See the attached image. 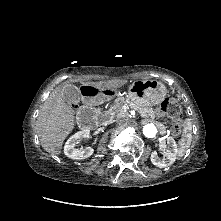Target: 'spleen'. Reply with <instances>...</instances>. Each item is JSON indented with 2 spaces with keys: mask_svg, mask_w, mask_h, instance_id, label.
<instances>
[{
  "mask_svg": "<svg viewBox=\"0 0 221 221\" xmlns=\"http://www.w3.org/2000/svg\"><path fill=\"white\" fill-rule=\"evenodd\" d=\"M190 130L191 128L189 125H187L183 130V135L182 138L180 139L181 153H184L186 149H188L191 145L192 134Z\"/></svg>",
  "mask_w": 221,
  "mask_h": 221,
  "instance_id": "obj_1",
  "label": "spleen"
}]
</instances>
